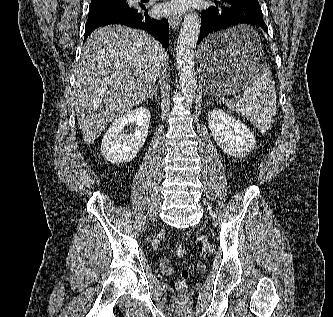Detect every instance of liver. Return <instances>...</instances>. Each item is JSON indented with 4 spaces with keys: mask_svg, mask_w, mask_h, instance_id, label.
I'll use <instances>...</instances> for the list:
<instances>
[{
    "mask_svg": "<svg viewBox=\"0 0 333 317\" xmlns=\"http://www.w3.org/2000/svg\"><path fill=\"white\" fill-rule=\"evenodd\" d=\"M165 61L161 44L143 31L113 25L90 34L74 89L78 125L87 145L146 99Z\"/></svg>",
    "mask_w": 333,
    "mask_h": 317,
    "instance_id": "6515ba94",
    "label": "liver"
}]
</instances>
